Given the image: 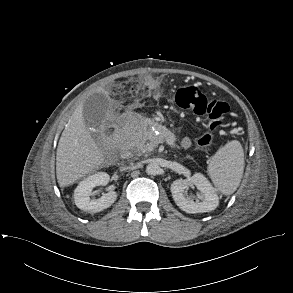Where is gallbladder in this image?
I'll return each instance as SVG.
<instances>
[{"mask_svg": "<svg viewBox=\"0 0 293 293\" xmlns=\"http://www.w3.org/2000/svg\"><path fill=\"white\" fill-rule=\"evenodd\" d=\"M110 107L109 97L103 93L90 95L83 104V119L88 127L99 129L107 117Z\"/></svg>", "mask_w": 293, "mask_h": 293, "instance_id": "obj_1", "label": "gallbladder"}]
</instances>
